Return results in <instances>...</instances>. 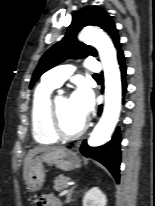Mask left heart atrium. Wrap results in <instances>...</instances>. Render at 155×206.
<instances>
[{"instance_id":"1","label":"left heart atrium","mask_w":155,"mask_h":206,"mask_svg":"<svg viewBox=\"0 0 155 206\" xmlns=\"http://www.w3.org/2000/svg\"><path fill=\"white\" fill-rule=\"evenodd\" d=\"M70 101L76 113L85 119L92 108V96L89 89L80 85L70 97Z\"/></svg>"}]
</instances>
